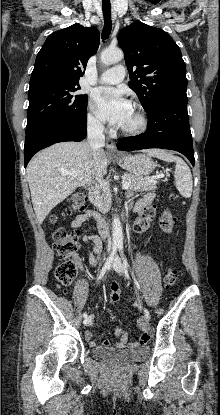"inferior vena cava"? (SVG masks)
<instances>
[{"label": "inferior vena cava", "instance_id": "1", "mask_svg": "<svg viewBox=\"0 0 220 415\" xmlns=\"http://www.w3.org/2000/svg\"><path fill=\"white\" fill-rule=\"evenodd\" d=\"M103 130L104 127L101 123L91 122L88 124L87 139L94 163H96L98 151L105 145ZM108 248H111V239H108Z\"/></svg>", "mask_w": 220, "mask_h": 415}]
</instances>
